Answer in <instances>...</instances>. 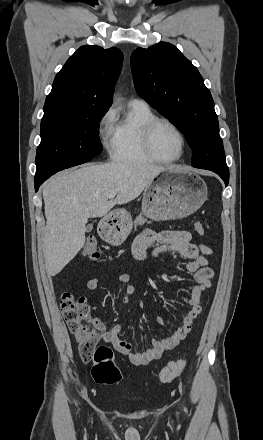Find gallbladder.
Here are the masks:
<instances>
[{
    "instance_id": "obj_1",
    "label": "gallbladder",
    "mask_w": 263,
    "mask_h": 440,
    "mask_svg": "<svg viewBox=\"0 0 263 440\" xmlns=\"http://www.w3.org/2000/svg\"><path fill=\"white\" fill-rule=\"evenodd\" d=\"M92 229H93V224H88L86 227V231L90 232V231H92Z\"/></svg>"
}]
</instances>
